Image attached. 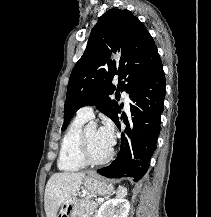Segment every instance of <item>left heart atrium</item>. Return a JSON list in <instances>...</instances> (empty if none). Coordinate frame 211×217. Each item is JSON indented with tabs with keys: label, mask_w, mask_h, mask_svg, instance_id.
<instances>
[{
	"label": "left heart atrium",
	"mask_w": 211,
	"mask_h": 217,
	"mask_svg": "<svg viewBox=\"0 0 211 217\" xmlns=\"http://www.w3.org/2000/svg\"><path fill=\"white\" fill-rule=\"evenodd\" d=\"M98 133L102 140L109 146L112 147L114 143V129L110 123H106L104 126L99 128Z\"/></svg>",
	"instance_id": "1"
}]
</instances>
